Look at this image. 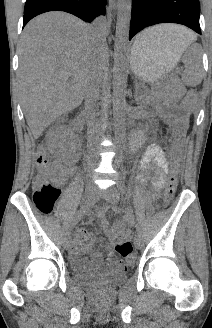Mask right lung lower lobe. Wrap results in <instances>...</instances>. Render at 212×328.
<instances>
[{"mask_svg":"<svg viewBox=\"0 0 212 328\" xmlns=\"http://www.w3.org/2000/svg\"><path fill=\"white\" fill-rule=\"evenodd\" d=\"M107 0H27L24 8L23 27L33 17L48 11H65L84 21L91 22L105 14Z\"/></svg>","mask_w":212,"mask_h":328,"instance_id":"obj_1","label":"right lung lower lobe"}]
</instances>
